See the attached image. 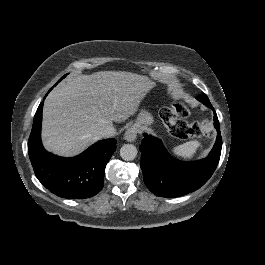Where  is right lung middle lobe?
I'll use <instances>...</instances> for the list:
<instances>
[{
  "label": "right lung middle lobe",
  "instance_id": "obj_1",
  "mask_svg": "<svg viewBox=\"0 0 265 265\" xmlns=\"http://www.w3.org/2000/svg\"><path fill=\"white\" fill-rule=\"evenodd\" d=\"M65 76H66V75H64L62 78H60V80H59L58 82H60ZM58 82H57V83H58Z\"/></svg>",
  "mask_w": 265,
  "mask_h": 265
}]
</instances>
